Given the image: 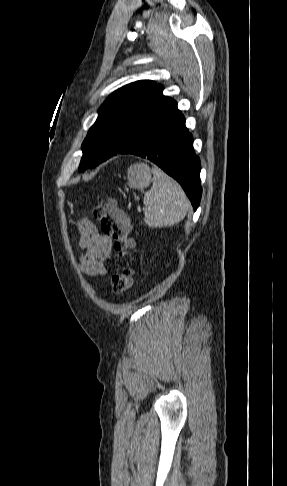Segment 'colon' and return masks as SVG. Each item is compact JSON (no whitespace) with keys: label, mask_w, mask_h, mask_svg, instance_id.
Segmentation results:
<instances>
[{"label":"colon","mask_w":287,"mask_h":486,"mask_svg":"<svg viewBox=\"0 0 287 486\" xmlns=\"http://www.w3.org/2000/svg\"><path fill=\"white\" fill-rule=\"evenodd\" d=\"M93 216L100 222L102 231L113 241L119 260L127 259L135 246L130 236V223L113 199L103 200L93 210ZM133 282V271L129 266H120L111 276L110 284L115 293L127 291Z\"/></svg>","instance_id":"obj_1"}]
</instances>
